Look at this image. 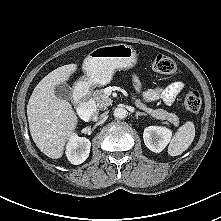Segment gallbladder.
<instances>
[{
  "instance_id": "bac80fb5",
  "label": "gallbladder",
  "mask_w": 221,
  "mask_h": 221,
  "mask_svg": "<svg viewBox=\"0 0 221 221\" xmlns=\"http://www.w3.org/2000/svg\"><path fill=\"white\" fill-rule=\"evenodd\" d=\"M55 95L60 99L70 101L73 99V90L68 84L61 83L55 86Z\"/></svg>"
}]
</instances>
